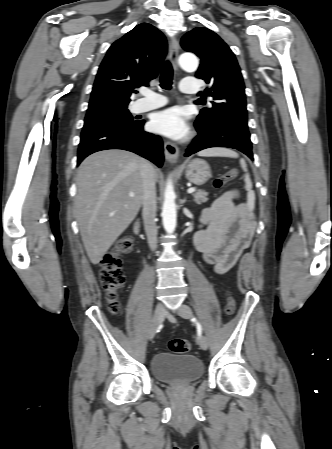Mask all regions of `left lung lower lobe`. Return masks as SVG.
<instances>
[{"instance_id": "1", "label": "left lung lower lobe", "mask_w": 332, "mask_h": 449, "mask_svg": "<svg viewBox=\"0 0 332 449\" xmlns=\"http://www.w3.org/2000/svg\"><path fill=\"white\" fill-rule=\"evenodd\" d=\"M196 130L198 135L186 150V157L206 148L229 147L243 152L253 160L247 121L226 120L211 127L196 126Z\"/></svg>"}]
</instances>
